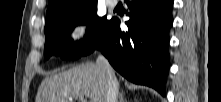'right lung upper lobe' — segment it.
Returning a JSON list of instances; mask_svg holds the SVG:
<instances>
[{"label":"right lung upper lobe","instance_id":"right-lung-upper-lobe-1","mask_svg":"<svg viewBox=\"0 0 221 102\" xmlns=\"http://www.w3.org/2000/svg\"><path fill=\"white\" fill-rule=\"evenodd\" d=\"M93 2H97V0H49L46 20L63 9L80 7Z\"/></svg>","mask_w":221,"mask_h":102}]
</instances>
